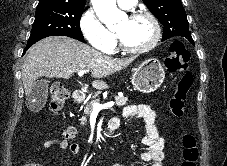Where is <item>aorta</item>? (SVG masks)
<instances>
[{"instance_id": "762f6f07", "label": "aorta", "mask_w": 227, "mask_h": 166, "mask_svg": "<svg viewBox=\"0 0 227 166\" xmlns=\"http://www.w3.org/2000/svg\"><path fill=\"white\" fill-rule=\"evenodd\" d=\"M91 2L96 15L107 27L127 18L126 13L117 8L116 0H91Z\"/></svg>"}]
</instances>
